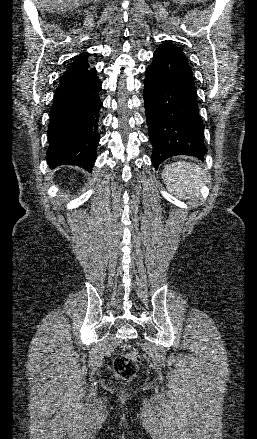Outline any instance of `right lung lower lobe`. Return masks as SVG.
<instances>
[{
	"label": "right lung lower lobe",
	"instance_id": "98d812e1",
	"mask_svg": "<svg viewBox=\"0 0 257 439\" xmlns=\"http://www.w3.org/2000/svg\"><path fill=\"white\" fill-rule=\"evenodd\" d=\"M102 83L96 70L61 82L56 90L48 129V165H77L92 170L99 142Z\"/></svg>",
	"mask_w": 257,
	"mask_h": 439
}]
</instances>
